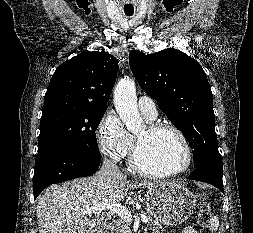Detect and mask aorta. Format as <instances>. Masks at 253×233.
<instances>
[{"mask_svg": "<svg viewBox=\"0 0 253 233\" xmlns=\"http://www.w3.org/2000/svg\"><path fill=\"white\" fill-rule=\"evenodd\" d=\"M114 105L128 131L136 133L144 128L139 114L135 82L130 78H122L114 90Z\"/></svg>", "mask_w": 253, "mask_h": 233, "instance_id": "obj_1", "label": "aorta"}]
</instances>
